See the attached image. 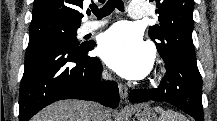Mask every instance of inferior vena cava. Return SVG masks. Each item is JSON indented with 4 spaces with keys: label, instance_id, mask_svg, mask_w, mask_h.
I'll return each instance as SVG.
<instances>
[{
    "label": "inferior vena cava",
    "instance_id": "1",
    "mask_svg": "<svg viewBox=\"0 0 217 121\" xmlns=\"http://www.w3.org/2000/svg\"><path fill=\"white\" fill-rule=\"evenodd\" d=\"M105 78H110V75L105 72L103 73ZM104 120V110L98 103L91 104V111L89 114V121H103Z\"/></svg>",
    "mask_w": 217,
    "mask_h": 121
}]
</instances>
